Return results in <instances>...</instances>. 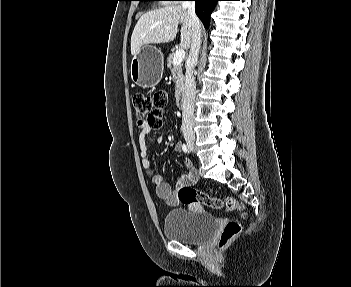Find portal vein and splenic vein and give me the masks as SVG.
Masks as SVG:
<instances>
[{
	"instance_id": "portal-vein-and-splenic-vein-1",
	"label": "portal vein and splenic vein",
	"mask_w": 351,
	"mask_h": 287,
	"mask_svg": "<svg viewBox=\"0 0 351 287\" xmlns=\"http://www.w3.org/2000/svg\"><path fill=\"white\" fill-rule=\"evenodd\" d=\"M185 57V51L183 49H178L176 50L174 57H173V63L175 65H179Z\"/></svg>"
}]
</instances>
